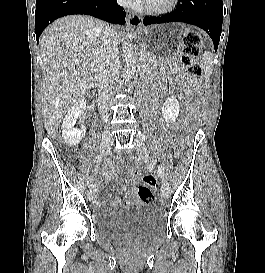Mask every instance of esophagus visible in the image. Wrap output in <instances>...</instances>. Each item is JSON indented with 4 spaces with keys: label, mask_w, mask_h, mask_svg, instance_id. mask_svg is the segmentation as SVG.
Returning <instances> with one entry per match:
<instances>
[{
    "label": "esophagus",
    "mask_w": 265,
    "mask_h": 273,
    "mask_svg": "<svg viewBox=\"0 0 265 273\" xmlns=\"http://www.w3.org/2000/svg\"><path fill=\"white\" fill-rule=\"evenodd\" d=\"M127 22L130 26L140 25L142 23V17L136 16L134 13H128Z\"/></svg>",
    "instance_id": "1"
}]
</instances>
